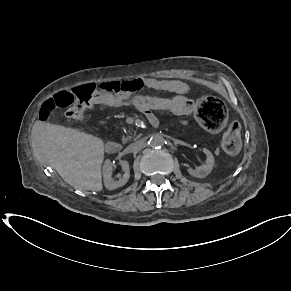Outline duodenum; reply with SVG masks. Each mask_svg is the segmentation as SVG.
Returning <instances> with one entry per match:
<instances>
[{"instance_id":"1","label":"duodenum","mask_w":291,"mask_h":291,"mask_svg":"<svg viewBox=\"0 0 291 291\" xmlns=\"http://www.w3.org/2000/svg\"><path fill=\"white\" fill-rule=\"evenodd\" d=\"M121 149V145L114 141H109L105 145V150L108 153H116Z\"/></svg>"}]
</instances>
